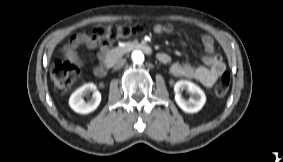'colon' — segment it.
<instances>
[{
	"label": "colon",
	"instance_id": "1",
	"mask_svg": "<svg viewBox=\"0 0 283 162\" xmlns=\"http://www.w3.org/2000/svg\"><path fill=\"white\" fill-rule=\"evenodd\" d=\"M143 25H96L92 30V36L104 41H113L120 38H127L133 34L143 33ZM79 74V67L69 61H58L51 69V79L58 90H67L76 81ZM230 87V76L224 73L215 86V93L219 97L225 96Z\"/></svg>",
	"mask_w": 283,
	"mask_h": 162
}]
</instances>
